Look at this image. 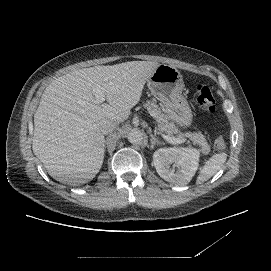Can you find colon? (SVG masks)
I'll return each instance as SVG.
<instances>
[{
    "mask_svg": "<svg viewBox=\"0 0 271 271\" xmlns=\"http://www.w3.org/2000/svg\"><path fill=\"white\" fill-rule=\"evenodd\" d=\"M195 101L198 107L207 113L215 111V99L211 89L205 84H198L195 88ZM226 139L224 136H219L215 139L214 145L217 149L223 150L226 147Z\"/></svg>",
    "mask_w": 271,
    "mask_h": 271,
    "instance_id": "colon-1",
    "label": "colon"
}]
</instances>
